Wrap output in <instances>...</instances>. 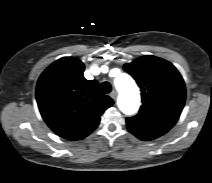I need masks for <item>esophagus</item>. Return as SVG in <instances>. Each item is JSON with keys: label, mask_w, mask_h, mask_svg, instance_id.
<instances>
[{"label": "esophagus", "mask_w": 212, "mask_h": 183, "mask_svg": "<svg viewBox=\"0 0 212 183\" xmlns=\"http://www.w3.org/2000/svg\"><path fill=\"white\" fill-rule=\"evenodd\" d=\"M110 97H111L113 100H116V98H117V91L113 90V91L110 93Z\"/></svg>", "instance_id": "esophagus-1"}]
</instances>
